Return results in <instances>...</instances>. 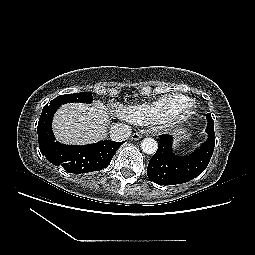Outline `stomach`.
I'll return each instance as SVG.
<instances>
[{
	"instance_id": "stomach-1",
	"label": "stomach",
	"mask_w": 255,
	"mask_h": 255,
	"mask_svg": "<svg viewBox=\"0 0 255 255\" xmlns=\"http://www.w3.org/2000/svg\"><path fill=\"white\" fill-rule=\"evenodd\" d=\"M190 138L186 130L180 129L175 133V147H179L181 143L188 141Z\"/></svg>"
}]
</instances>
